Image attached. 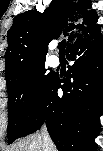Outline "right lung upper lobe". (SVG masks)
I'll return each mask as SVG.
<instances>
[{
	"label": "right lung upper lobe",
	"mask_w": 103,
	"mask_h": 151,
	"mask_svg": "<svg viewBox=\"0 0 103 151\" xmlns=\"http://www.w3.org/2000/svg\"><path fill=\"white\" fill-rule=\"evenodd\" d=\"M89 8V0H52L43 13L28 10L19 14L7 33V87L29 67L45 63L47 46L52 38L64 34L69 45L97 25L95 13L87 11Z\"/></svg>",
	"instance_id": "1"
}]
</instances>
